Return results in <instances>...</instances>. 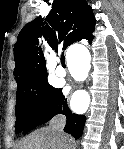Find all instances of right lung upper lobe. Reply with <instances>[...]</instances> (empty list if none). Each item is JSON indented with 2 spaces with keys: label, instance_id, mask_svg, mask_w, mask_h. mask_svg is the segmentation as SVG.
<instances>
[{
  "label": "right lung upper lobe",
  "instance_id": "right-lung-upper-lobe-1",
  "mask_svg": "<svg viewBox=\"0 0 124 149\" xmlns=\"http://www.w3.org/2000/svg\"><path fill=\"white\" fill-rule=\"evenodd\" d=\"M95 18L86 0H54L52 10L43 22L41 17L27 23L14 45V75L18 87L35 86L47 79L46 62L38 47L42 35L51 48L65 50L81 39L91 43Z\"/></svg>",
  "mask_w": 124,
  "mask_h": 149
}]
</instances>
